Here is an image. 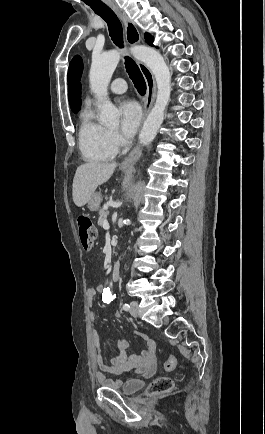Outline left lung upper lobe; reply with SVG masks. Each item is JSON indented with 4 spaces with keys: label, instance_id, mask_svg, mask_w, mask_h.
Instances as JSON below:
<instances>
[{
    "label": "left lung upper lobe",
    "instance_id": "1",
    "mask_svg": "<svg viewBox=\"0 0 265 434\" xmlns=\"http://www.w3.org/2000/svg\"><path fill=\"white\" fill-rule=\"evenodd\" d=\"M145 41L149 45H153V37L149 33H145Z\"/></svg>",
    "mask_w": 265,
    "mask_h": 434
}]
</instances>
